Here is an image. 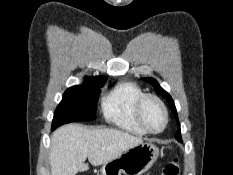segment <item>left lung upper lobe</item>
Listing matches in <instances>:
<instances>
[{
  "label": "left lung upper lobe",
  "instance_id": "5c2ea615",
  "mask_svg": "<svg viewBox=\"0 0 233 175\" xmlns=\"http://www.w3.org/2000/svg\"><path fill=\"white\" fill-rule=\"evenodd\" d=\"M142 80H144V81L150 83L152 86H154L155 90H156L159 94H161L164 98L167 99V102H168L169 106L171 107V109H172V111H173V113H174V116L177 118L176 107H175L174 101H173V99L171 98V96H170L165 90H163V89L159 86V84L157 83V81H156L155 79H153V78H145V77H144V78H142ZM177 125H178L179 131L176 133V139H177L178 141H182V139H181V134H180V123H179V121H177Z\"/></svg>",
  "mask_w": 233,
  "mask_h": 175
}]
</instances>
